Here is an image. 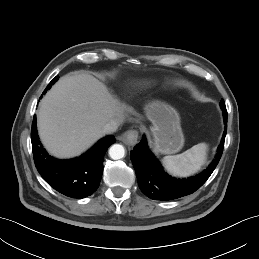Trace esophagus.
<instances>
[{"label":"esophagus","mask_w":259,"mask_h":259,"mask_svg":"<svg viewBox=\"0 0 259 259\" xmlns=\"http://www.w3.org/2000/svg\"><path fill=\"white\" fill-rule=\"evenodd\" d=\"M138 135L137 130H128L121 135L120 140L127 146H134L138 141Z\"/></svg>","instance_id":"obj_1"}]
</instances>
